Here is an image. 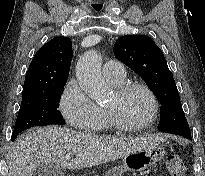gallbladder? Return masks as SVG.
I'll list each match as a JSON object with an SVG mask.
<instances>
[{
  "label": "gallbladder",
  "mask_w": 205,
  "mask_h": 176,
  "mask_svg": "<svg viewBox=\"0 0 205 176\" xmlns=\"http://www.w3.org/2000/svg\"><path fill=\"white\" fill-rule=\"evenodd\" d=\"M65 170L55 164L41 163L32 170L31 176H64Z\"/></svg>",
  "instance_id": "gallbladder-1"
}]
</instances>
